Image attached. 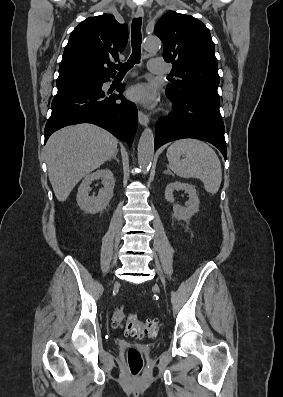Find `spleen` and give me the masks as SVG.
Returning <instances> with one entry per match:
<instances>
[{"instance_id": "obj_1", "label": "spleen", "mask_w": 283, "mask_h": 397, "mask_svg": "<svg viewBox=\"0 0 283 397\" xmlns=\"http://www.w3.org/2000/svg\"><path fill=\"white\" fill-rule=\"evenodd\" d=\"M181 155L185 158L181 159ZM169 168L181 178H198L205 190L216 194L222 181V169L216 152L196 139L175 141L167 150Z\"/></svg>"}]
</instances>
